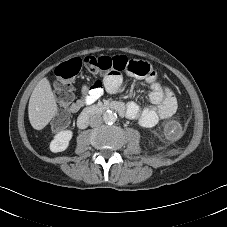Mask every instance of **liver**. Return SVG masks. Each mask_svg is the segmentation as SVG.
Returning <instances> with one entry per match:
<instances>
[{
  "instance_id": "1",
  "label": "liver",
  "mask_w": 227,
  "mask_h": 227,
  "mask_svg": "<svg viewBox=\"0 0 227 227\" xmlns=\"http://www.w3.org/2000/svg\"><path fill=\"white\" fill-rule=\"evenodd\" d=\"M55 95L47 78L41 79L34 88L28 105L31 126L43 129L57 113Z\"/></svg>"
}]
</instances>
